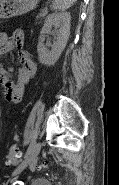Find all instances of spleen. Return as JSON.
Returning <instances> with one entry per match:
<instances>
[{"label":"spleen","instance_id":"obj_1","mask_svg":"<svg viewBox=\"0 0 119 185\" xmlns=\"http://www.w3.org/2000/svg\"><path fill=\"white\" fill-rule=\"evenodd\" d=\"M77 0H54L52 9L56 11H65L70 8Z\"/></svg>","mask_w":119,"mask_h":185}]
</instances>
